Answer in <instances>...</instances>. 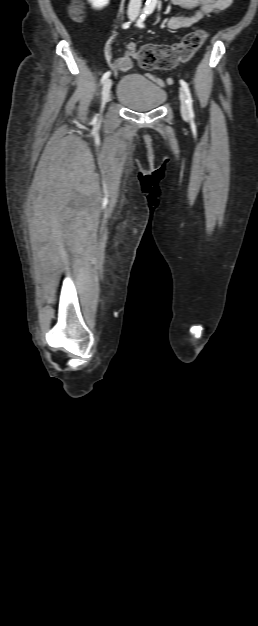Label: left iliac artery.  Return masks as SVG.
I'll return each instance as SVG.
<instances>
[{
  "mask_svg": "<svg viewBox=\"0 0 258 626\" xmlns=\"http://www.w3.org/2000/svg\"><path fill=\"white\" fill-rule=\"evenodd\" d=\"M150 13H151V12H146V14H145V15H143V16H141V17L139 18V20H138V22H137V26H138V27H140V28H144V23H143V22L145 21L146 17H147ZM180 84H181V86H182V89H183V90H184V92H185L186 97H187L188 112H189V114H190L191 116H193V115H194V112H193V100H192V96H191V93H190L189 86H188V84H187L184 80H182V79L180 80Z\"/></svg>",
  "mask_w": 258,
  "mask_h": 626,
  "instance_id": "left-iliac-artery-1",
  "label": "left iliac artery"
}]
</instances>
